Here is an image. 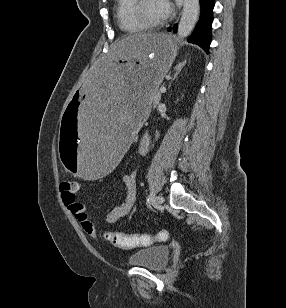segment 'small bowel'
<instances>
[{"mask_svg": "<svg viewBox=\"0 0 286 308\" xmlns=\"http://www.w3.org/2000/svg\"><path fill=\"white\" fill-rule=\"evenodd\" d=\"M149 150V139L142 138L139 141L138 151L140 155H145ZM126 189L125 200L118 206L111 209L106 215V221L109 224L118 223L123 217L127 216L136 202V181L137 173L131 172L125 174L122 178ZM64 203L69 207L70 212L76 218L82 229L92 238L98 240L99 235L92 220L87 215L84 206L76 200V197L63 195Z\"/></svg>", "mask_w": 286, "mask_h": 308, "instance_id": "c3829d8e", "label": "small bowel"}]
</instances>
